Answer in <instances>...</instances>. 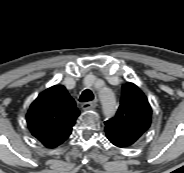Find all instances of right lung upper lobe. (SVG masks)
Instances as JSON below:
<instances>
[{
	"mask_svg": "<svg viewBox=\"0 0 184 173\" xmlns=\"http://www.w3.org/2000/svg\"><path fill=\"white\" fill-rule=\"evenodd\" d=\"M79 114L66 88L55 85L35 99L26 117L32 135L45 147L55 148L69 137Z\"/></svg>",
	"mask_w": 184,
	"mask_h": 173,
	"instance_id": "1",
	"label": "right lung upper lobe"
}]
</instances>
